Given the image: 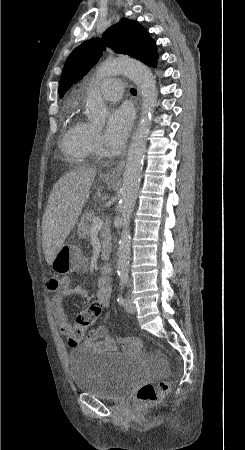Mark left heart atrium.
I'll return each mask as SVG.
<instances>
[{
  "label": "left heart atrium",
  "instance_id": "1",
  "mask_svg": "<svg viewBox=\"0 0 245 450\" xmlns=\"http://www.w3.org/2000/svg\"><path fill=\"white\" fill-rule=\"evenodd\" d=\"M134 120V112L129 104L114 109L109 116L105 131L106 145L118 149L126 141Z\"/></svg>",
  "mask_w": 245,
  "mask_h": 450
}]
</instances>
